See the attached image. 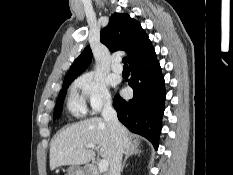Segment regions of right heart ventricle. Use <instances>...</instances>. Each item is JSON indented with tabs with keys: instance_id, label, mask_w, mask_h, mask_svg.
<instances>
[{
	"instance_id": "obj_1",
	"label": "right heart ventricle",
	"mask_w": 233,
	"mask_h": 175,
	"mask_svg": "<svg viewBox=\"0 0 233 175\" xmlns=\"http://www.w3.org/2000/svg\"><path fill=\"white\" fill-rule=\"evenodd\" d=\"M69 112L75 117H83L86 114V108L75 91H71L67 101Z\"/></svg>"
}]
</instances>
